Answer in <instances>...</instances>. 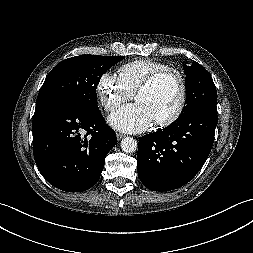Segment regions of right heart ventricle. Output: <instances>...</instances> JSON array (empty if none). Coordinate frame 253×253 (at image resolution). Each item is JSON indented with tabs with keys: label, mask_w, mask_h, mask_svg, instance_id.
<instances>
[{
	"label": "right heart ventricle",
	"mask_w": 253,
	"mask_h": 253,
	"mask_svg": "<svg viewBox=\"0 0 253 253\" xmlns=\"http://www.w3.org/2000/svg\"><path fill=\"white\" fill-rule=\"evenodd\" d=\"M168 66L153 59H136L121 65L118 78L133 94L139 86L153 73L167 69Z\"/></svg>",
	"instance_id": "right-heart-ventricle-1"
}]
</instances>
